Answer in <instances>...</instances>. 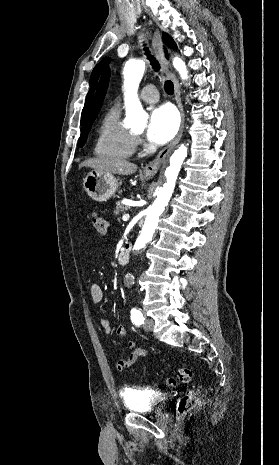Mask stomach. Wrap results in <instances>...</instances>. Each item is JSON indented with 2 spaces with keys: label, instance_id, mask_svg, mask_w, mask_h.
<instances>
[{
  "label": "stomach",
  "instance_id": "0dacf381",
  "mask_svg": "<svg viewBox=\"0 0 279 465\" xmlns=\"http://www.w3.org/2000/svg\"><path fill=\"white\" fill-rule=\"evenodd\" d=\"M148 178V177H146ZM119 187V179L110 173L92 170L83 179V188L95 201L103 202L111 198Z\"/></svg>",
  "mask_w": 279,
  "mask_h": 465
}]
</instances>
